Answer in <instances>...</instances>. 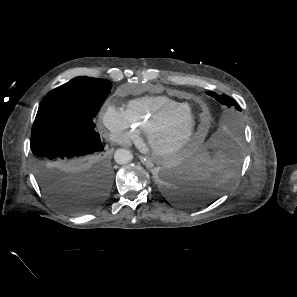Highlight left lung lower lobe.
<instances>
[{"instance_id": "obj_1", "label": "left lung lower lobe", "mask_w": 297, "mask_h": 297, "mask_svg": "<svg viewBox=\"0 0 297 297\" xmlns=\"http://www.w3.org/2000/svg\"><path fill=\"white\" fill-rule=\"evenodd\" d=\"M227 157L233 148L225 145ZM156 180L163 194L172 202L187 207L202 205L217 199L230 185L226 173L199 165L198 157L183 156L158 171Z\"/></svg>"}]
</instances>
